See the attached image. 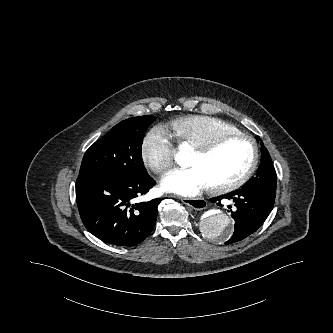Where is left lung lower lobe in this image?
Masks as SVG:
<instances>
[{"label":"left lung lower lobe","instance_id":"0a47b994","mask_svg":"<svg viewBox=\"0 0 333 333\" xmlns=\"http://www.w3.org/2000/svg\"><path fill=\"white\" fill-rule=\"evenodd\" d=\"M275 195V192L267 190L241 188L215 198L217 205H221L222 199H228L232 200L236 207L235 211H231L235 221L234 233L225 244L243 240L255 232L270 214L275 202Z\"/></svg>","mask_w":333,"mask_h":333}]
</instances>
